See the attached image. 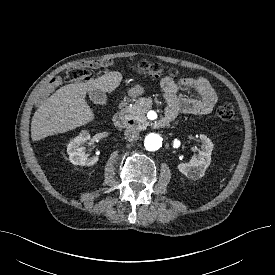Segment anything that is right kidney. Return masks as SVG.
I'll return each mask as SVG.
<instances>
[{
	"instance_id": "ca27d5eb",
	"label": "right kidney",
	"mask_w": 275,
	"mask_h": 275,
	"mask_svg": "<svg viewBox=\"0 0 275 275\" xmlns=\"http://www.w3.org/2000/svg\"><path fill=\"white\" fill-rule=\"evenodd\" d=\"M89 139V132L87 130H82L80 134L68 144L67 153L72 164L92 166L98 162L99 158L97 156L88 157L85 154V148L82 145Z\"/></svg>"
}]
</instances>
